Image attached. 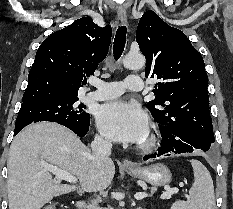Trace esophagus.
Returning a JSON list of instances; mask_svg holds the SVG:
<instances>
[{
    "label": "esophagus",
    "mask_w": 233,
    "mask_h": 209,
    "mask_svg": "<svg viewBox=\"0 0 233 209\" xmlns=\"http://www.w3.org/2000/svg\"><path fill=\"white\" fill-rule=\"evenodd\" d=\"M117 16L122 24L127 23V13H126V10L122 6H119L117 8ZM122 165L124 167H127V168H134L135 167V165L133 163H131L128 159H124L122 161Z\"/></svg>",
    "instance_id": "1"
}]
</instances>
